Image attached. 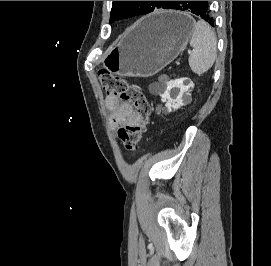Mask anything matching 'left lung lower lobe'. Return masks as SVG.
I'll return each instance as SVG.
<instances>
[{
  "instance_id": "1",
  "label": "left lung lower lobe",
  "mask_w": 271,
  "mask_h": 266,
  "mask_svg": "<svg viewBox=\"0 0 271 266\" xmlns=\"http://www.w3.org/2000/svg\"><path fill=\"white\" fill-rule=\"evenodd\" d=\"M168 9H176L181 11H189L198 15L209 25L214 27L215 21L209 9L208 1H174Z\"/></svg>"
}]
</instances>
